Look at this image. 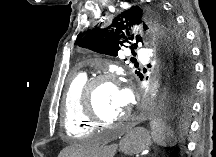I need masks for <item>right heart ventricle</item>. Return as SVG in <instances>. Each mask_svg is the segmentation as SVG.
Here are the masks:
<instances>
[{
  "label": "right heart ventricle",
  "instance_id": "1",
  "mask_svg": "<svg viewBox=\"0 0 216 157\" xmlns=\"http://www.w3.org/2000/svg\"><path fill=\"white\" fill-rule=\"evenodd\" d=\"M88 80L85 73L71 74L62 97L63 128L71 137L86 136L95 129V125L85 117L82 110V88Z\"/></svg>",
  "mask_w": 216,
  "mask_h": 157
}]
</instances>
